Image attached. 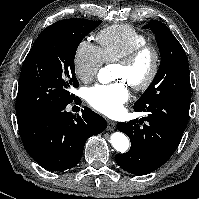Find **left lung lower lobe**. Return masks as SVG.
Wrapping results in <instances>:
<instances>
[{
	"label": "left lung lower lobe",
	"mask_w": 199,
	"mask_h": 199,
	"mask_svg": "<svg viewBox=\"0 0 199 199\" xmlns=\"http://www.w3.org/2000/svg\"><path fill=\"white\" fill-rule=\"evenodd\" d=\"M190 102L170 100L152 105L146 124L131 120L117 123V129L131 140L127 153L115 155L116 163L135 175L148 174L161 167L177 149L188 123Z\"/></svg>",
	"instance_id": "0a47b994"
}]
</instances>
